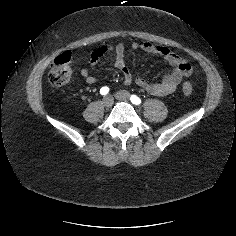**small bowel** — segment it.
Returning <instances> with one entry per match:
<instances>
[{
	"instance_id": "c3829d8e",
	"label": "small bowel",
	"mask_w": 236,
	"mask_h": 236,
	"mask_svg": "<svg viewBox=\"0 0 236 236\" xmlns=\"http://www.w3.org/2000/svg\"><path fill=\"white\" fill-rule=\"evenodd\" d=\"M132 48L150 52L164 58L173 67L172 70L159 82H149L142 77H133L125 61V48L120 43L112 48L104 45L95 49L91 53L90 64L92 67H95L98 61L112 49L114 65L121 71L124 84L130 85L132 82H135L136 85L155 96L172 94L179 87L182 79L189 76L192 72L190 63L168 47L151 42H134ZM80 74L89 85H93L97 82L96 77L85 67L80 70Z\"/></svg>"
}]
</instances>
